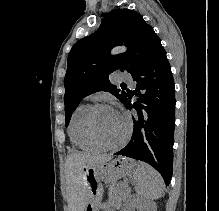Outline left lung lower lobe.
Here are the masks:
<instances>
[{
    "mask_svg": "<svg viewBox=\"0 0 219 211\" xmlns=\"http://www.w3.org/2000/svg\"><path fill=\"white\" fill-rule=\"evenodd\" d=\"M136 89L122 103L135 109L133 134L128 145L116 153L149 163L168 185L173 173L175 84L163 50L132 75ZM136 95L137 101H131Z\"/></svg>",
    "mask_w": 219,
    "mask_h": 211,
    "instance_id": "obj_1",
    "label": "left lung lower lobe"
}]
</instances>
